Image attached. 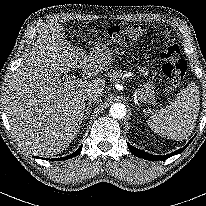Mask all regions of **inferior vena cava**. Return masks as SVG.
Here are the masks:
<instances>
[{"mask_svg": "<svg viewBox=\"0 0 206 206\" xmlns=\"http://www.w3.org/2000/svg\"><path fill=\"white\" fill-rule=\"evenodd\" d=\"M86 100H89L90 102H101L100 98L97 96V95H94V94H86L85 97H84Z\"/></svg>", "mask_w": 206, "mask_h": 206, "instance_id": "602c4592", "label": "inferior vena cava"}]
</instances>
